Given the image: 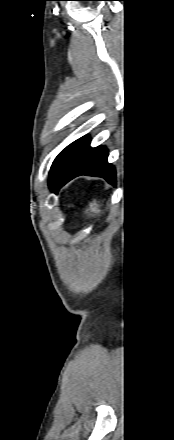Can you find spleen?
Wrapping results in <instances>:
<instances>
[{"mask_svg":"<svg viewBox=\"0 0 174 440\" xmlns=\"http://www.w3.org/2000/svg\"><path fill=\"white\" fill-rule=\"evenodd\" d=\"M90 210L94 213L99 212L98 205L95 200L92 203H90Z\"/></svg>","mask_w":174,"mask_h":440,"instance_id":"obj_1","label":"spleen"}]
</instances>
